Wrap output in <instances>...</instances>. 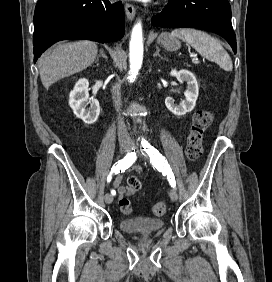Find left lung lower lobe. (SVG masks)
Masks as SVG:
<instances>
[{
  "label": "left lung lower lobe",
  "instance_id": "obj_1",
  "mask_svg": "<svg viewBox=\"0 0 272 282\" xmlns=\"http://www.w3.org/2000/svg\"><path fill=\"white\" fill-rule=\"evenodd\" d=\"M151 23L162 28L191 27L211 31L226 39L234 53L237 51L228 0H169Z\"/></svg>",
  "mask_w": 272,
  "mask_h": 282
}]
</instances>
